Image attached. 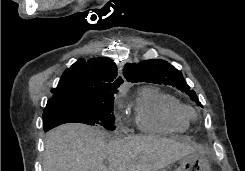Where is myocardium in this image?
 <instances>
[{
  "label": "myocardium",
  "mask_w": 245,
  "mask_h": 171,
  "mask_svg": "<svg viewBox=\"0 0 245 171\" xmlns=\"http://www.w3.org/2000/svg\"><path fill=\"white\" fill-rule=\"evenodd\" d=\"M185 113H186L188 118H194L195 117L194 111L192 109H190V108H186L185 109Z\"/></svg>",
  "instance_id": "myocardium-1"
}]
</instances>
